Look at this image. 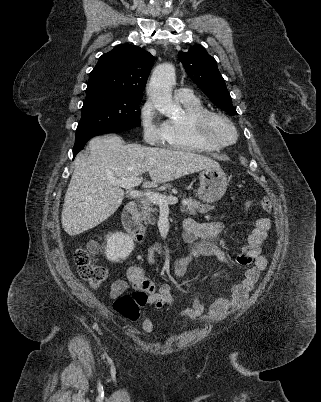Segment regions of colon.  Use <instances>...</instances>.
<instances>
[{"label": "colon", "instance_id": "5ec220e1", "mask_svg": "<svg viewBox=\"0 0 321 402\" xmlns=\"http://www.w3.org/2000/svg\"><path fill=\"white\" fill-rule=\"evenodd\" d=\"M260 206L264 212L270 213L271 200L264 197L260 200ZM99 251V244L89 243L86 247L76 249L74 261L81 278L87 281L93 288L99 287L107 277L106 269L94 262L93 256ZM148 295L144 290L133 291L117 297L114 301V310L121 317L137 321L140 317V309L147 303Z\"/></svg>", "mask_w": 321, "mask_h": 402}]
</instances>
